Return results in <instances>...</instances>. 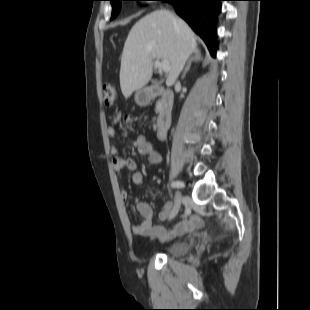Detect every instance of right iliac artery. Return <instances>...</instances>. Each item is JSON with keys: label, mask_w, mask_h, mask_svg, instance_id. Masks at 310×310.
<instances>
[{"label": "right iliac artery", "mask_w": 310, "mask_h": 310, "mask_svg": "<svg viewBox=\"0 0 310 310\" xmlns=\"http://www.w3.org/2000/svg\"><path fill=\"white\" fill-rule=\"evenodd\" d=\"M172 187L173 188H179V187H184V183L183 182H173L172 183Z\"/></svg>", "instance_id": "right-iliac-artery-1"}]
</instances>
